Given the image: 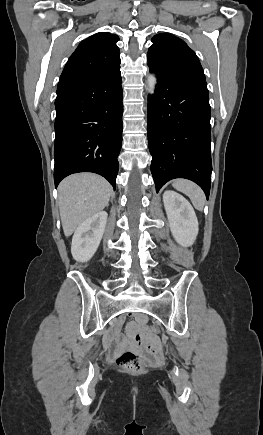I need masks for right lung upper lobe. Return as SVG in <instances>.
I'll return each mask as SVG.
<instances>
[{"label": "right lung upper lobe", "instance_id": "right-lung-upper-lobe-1", "mask_svg": "<svg viewBox=\"0 0 263 435\" xmlns=\"http://www.w3.org/2000/svg\"><path fill=\"white\" fill-rule=\"evenodd\" d=\"M118 40L117 35L99 32L82 41L66 63L57 89L88 82L120 68Z\"/></svg>", "mask_w": 263, "mask_h": 435}]
</instances>
